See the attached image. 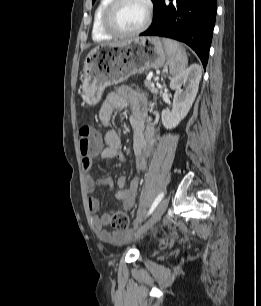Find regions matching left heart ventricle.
Segmentation results:
<instances>
[{"label":"left heart ventricle","mask_w":261,"mask_h":306,"mask_svg":"<svg viewBox=\"0 0 261 306\" xmlns=\"http://www.w3.org/2000/svg\"><path fill=\"white\" fill-rule=\"evenodd\" d=\"M146 9L141 0H124L115 10L113 21L124 31L139 27L145 19Z\"/></svg>","instance_id":"obj_1"}]
</instances>
